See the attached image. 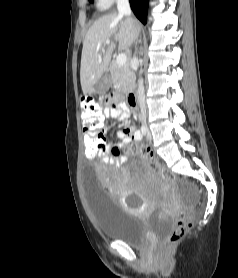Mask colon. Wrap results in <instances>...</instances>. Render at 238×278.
<instances>
[{
	"instance_id": "5ec220e1",
	"label": "colon",
	"mask_w": 238,
	"mask_h": 278,
	"mask_svg": "<svg viewBox=\"0 0 238 278\" xmlns=\"http://www.w3.org/2000/svg\"><path fill=\"white\" fill-rule=\"evenodd\" d=\"M80 106V128L84 129V137L82 138L84 146L83 156H85V159H98L105 145L101 105L93 96L87 95L81 98ZM129 151L131 153H139L146 159H153V153L147 147L132 145ZM110 153L116 157L119 154V149L113 147ZM159 171L165 183L175 185L176 188L180 187L177 174H173L164 166H160ZM176 216L177 222L173 229L166 235L163 246H168L180 241L192 226V214L187 208L180 207L177 210Z\"/></svg>"
}]
</instances>
